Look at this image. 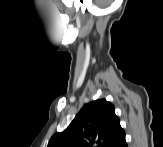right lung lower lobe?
I'll return each instance as SVG.
<instances>
[{"label":"right lung lower lobe","mask_w":163,"mask_h":147,"mask_svg":"<svg viewBox=\"0 0 163 147\" xmlns=\"http://www.w3.org/2000/svg\"><path fill=\"white\" fill-rule=\"evenodd\" d=\"M112 147H127L125 135H123Z\"/></svg>","instance_id":"right-lung-lower-lobe-1"}]
</instances>
